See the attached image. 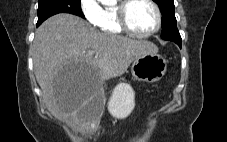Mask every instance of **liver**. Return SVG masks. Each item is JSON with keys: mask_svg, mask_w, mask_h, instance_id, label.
Segmentation results:
<instances>
[{"mask_svg": "<svg viewBox=\"0 0 227 142\" xmlns=\"http://www.w3.org/2000/svg\"><path fill=\"white\" fill-rule=\"evenodd\" d=\"M157 51L152 42L101 33L82 18L63 13L36 30L32 57L47 108L69 124L87 129L77 113L101 92L99 81L123 75L135 58ZM65 61H86V66L78 68H86L93 78L79 81L78 88H61L62 81L54 80Z\"/></svg>", "mask_w": 227, "mask_h": 142, "instance_id": "obj_1", "label": "liver"}]
</instances>
